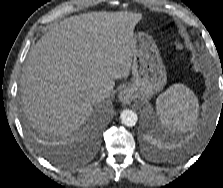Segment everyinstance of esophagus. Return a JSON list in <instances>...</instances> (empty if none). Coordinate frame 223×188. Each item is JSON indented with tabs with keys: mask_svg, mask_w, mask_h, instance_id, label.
<instances>
[{
	"mask_svg": "<svg viewBox=\"0 0 223 188\" xmlns=\"http://www.w3.org/2000/svg\"><path fill=\"white\" fill-rule=\"evenodd\" d=\"M118 99L124 105L130 104L133 99L132 91L129 88L122 89L118 94Z\"/></svg>",
	"mask_w": 223,
	"mask_h": 188,
	"instance_id": "obj_1",
	"label": "esophagus"
}]
</instances>
